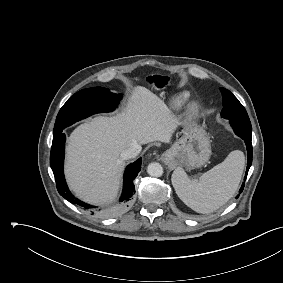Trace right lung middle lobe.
Masks as SVG:
<instances>
[{
	"instance_id": "dd1d6c3e",
	"label": "right lung middle lobe",
	"mask_w": 283,
	"mask_h": 283,
	"mask_svg": "<svg viewBox=\"0 0 283 283\" xmlns=\"http://www.w3.org/2000/svg\"><path fill=\"white\" fill-rule=\"evenodd\" d=\"M121 97V94H113L103 87L88 88L77 92L60 109L53 136L59 135L67 126L92 114L113 111Z\"/></svg>"
}]
</instances>
